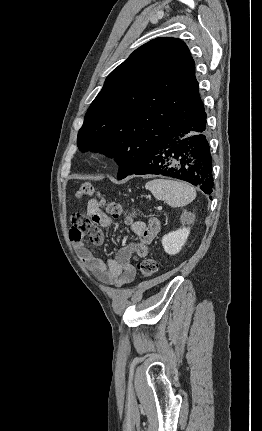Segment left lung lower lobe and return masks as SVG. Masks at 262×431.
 <instances>
[{
	"label": "left lung lower lobe",
	"instance_id": "0a47b994",
	"mask_svg": "<svg viewBox=\"0 0 262 431\" xmlns=\"http://www.w3.org/2000/svg\"><path fill=\"white\" fill-rule=\"evenodd\" d=\"M206 132V113L203 111L195 120L159 142L137 162L128 175L169 176L189 182L206 194H211L214 182Z\"/></svg>",
	"mask_w": 262,
	"mask_h": 431
}]
</instances>
